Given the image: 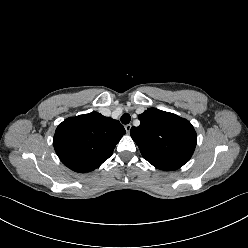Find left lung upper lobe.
Segmentation results:
<instances>
[{
    "instance_id": "left-lung-upper-lobe-1",
    "label": "left lung upper lobe",
    "mask_w": 248,
    "mask_h": 248,
    "mask_svg": "<svg viewBox=\"0 0 248 248\" xmlns=\"http://www.w3.org/2000/svg\"><path fill=\"white\" fill-rule=\"evenodd\" d=\"M140 125L130 134L142 156L154 167L172 171L192 156L197 135L192 124L173 113L149 108L138 116Z\"/></svg>"
}]
</instances>
